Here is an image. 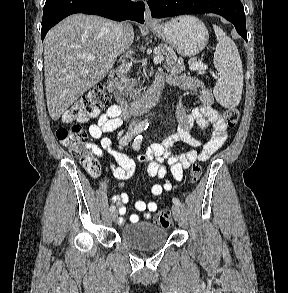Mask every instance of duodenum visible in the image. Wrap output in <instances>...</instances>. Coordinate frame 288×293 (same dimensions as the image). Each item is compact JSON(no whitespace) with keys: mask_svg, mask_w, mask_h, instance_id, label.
<instances>
[{"mask_svg":"<svg viewBox=\"0 0 288 293\" xmlns=\"http://www.w3.org/2000/svg\"><path fill=\"white\" fill-rule=\"evenodd\" d=\"M165 85V78L157 75L151 88L145 94L133 100H127L119 94L118 83L114 73H110L106 81L108 91L114 95L121 112L125 116L132 113H143L155 105L160 99Z\"/></svg>","mask_w":288,"mask_h":293,"instance_id":"obj_1","label":"duodenum"}]
</instances>
